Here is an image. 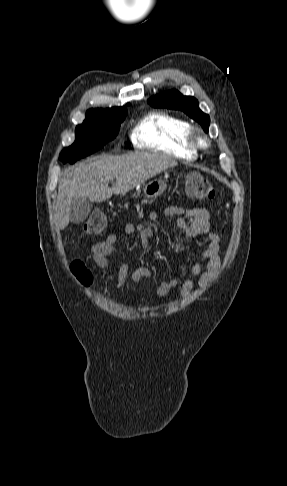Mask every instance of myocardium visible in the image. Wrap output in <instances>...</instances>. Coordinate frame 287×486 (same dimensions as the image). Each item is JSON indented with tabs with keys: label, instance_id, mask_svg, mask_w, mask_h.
<instances>
[{
	"label": "myocardium",
	"instance_id": "1",
	"mask_svg": "<svg viewBox=\"0 0 287 486\" xmlns=\"http://www.w3.org/2000/svg\"><path fill=\"white\" fill-rule=\"evenodd\" d=\"M188 141L195 150H204L209 146V141L199 128L192 127L188 131Z\"/></svg>",
	"mask_w": 287,
	"mask_h": 486
}]
</instances>
